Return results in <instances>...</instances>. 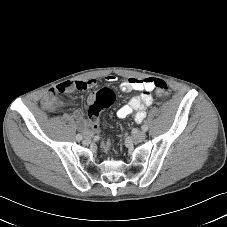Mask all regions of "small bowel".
<instances>
[{"label":"small bowel","instance_id":"obj_1","mask_svg":"<svg viewBox=\"0 0 227 227\" xmlns=\"http://www.w3.org/2000/svg\"><path fill=\"white\" fill-rule=\"evenodd\" d=\"M106 82L115 83L118 78L115 75H107L105 77ZM82 84L83 88L79 90L89 89L96 86L97 81L95 79H89L85 81H67L57 85L53 88L44 98L43 106L49 110H56L62 108V103L57 101V96L59 94L69 92L73 89H78L77 85ZM155 88L153 78H128L120 83V90L123 93L129 94L134 91L141 92L139 95H134L129 98L128 102L120 107L116 116L120 119L126 118L127 116L133 114V119L136 123H141L146 116V109L152 105L153 96L151 91ZM94 95L88 97V101L91 102ZM72 116L76 119L78 126L82 131L88 130V123L83 119L82 110L77 108L73 111ZM109 145L107 142L104 143V148L108 149Z\"/></svg>","mask_w":227,"mask_h":227}]
</instances>
